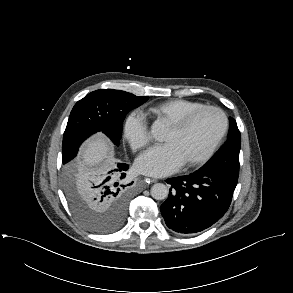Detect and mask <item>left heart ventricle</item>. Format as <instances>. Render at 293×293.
I'll list each match as a JSON object with an SVG mask.
<instances>
[{
  "instance_id": "obj_1",
  "label": "left heart ventricle",
  "mask_w": 293,
  "mask_h": 293,
  "mask_svg": "<svg viewBox=\"0 0 293 293\" xmlns=\"http://www.w3.org/2000/svg\"><path fill=\"white\" fill-rule=\"evenodd\" d=\"M222 126L223 121L218 113L206 111L198 115L182 132H174L168 128L163 141L175 148L184 164L205 153Z\"/></svg>"
}]
</instances>
